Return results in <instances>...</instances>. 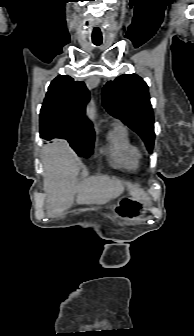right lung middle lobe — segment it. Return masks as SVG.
<instances>
[{
  "label": "right lung middle lobe",
  "instance_id": "obj_1",
  "mask_svg": "<svg viewBox=\"0 0 194 336\" xmlns=\"http://www.w3.org/2000/svg\"><path fill=\"white\" fill-rule=\"evenodd\" d=\"M62 139L67 140L79 156L88 157L93 151L94 137L71 135L65 136Z\"/></svg>",
  "mask_w": 194,
  "mask_h": 336
}]
</instances>
